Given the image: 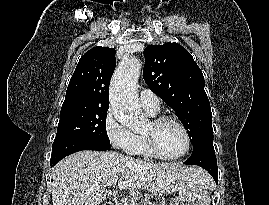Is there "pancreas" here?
Here are the masks:
<instances>
[{"label": "pancreas", "instance_id": "pancreas-1", "mask_svg": "<svg viewBox=\"0 0 269 205\" xmlns=\"http://www.w3.org/2000/svg\"><path fill=\"white\" fill-rule=\"evenodd\" d=\"M141 199V194L137 190H131L129 195L123 200V203L116 205H141L137 202Z\"/></svg>", "mask_w": 269, "mask_h": 205}]
</instances>
